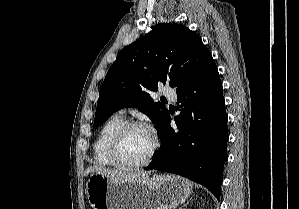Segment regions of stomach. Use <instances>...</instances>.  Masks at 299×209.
Returning a JSON list of instances; mask_svg holds the SVG:
<instances>
[{
  "instance_id": "1",
  "label": "stomach",
  "mask_w": 299,
  "mask_h": 209,
  "mask_svg": "<svg viewBox=\"0 0 299 209\" xmlns=\"http://www.w3.org/2000/svg\"><path fill=\"white\" fill-rule=\"evenodd\" d=\"M86 189L93 209H175L188 199L192 185L184 178L168 174L120 182L92 173Z\"/></svg>"
}]
</instances>
